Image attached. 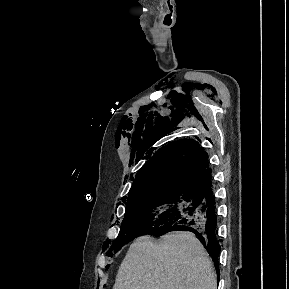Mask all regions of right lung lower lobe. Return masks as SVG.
Returning <instances> with one entry per match:
<instances>
[{"mask_svg": "<svg viewBox=\"0 0 289 289\" xmlns=\"http://www.w3.org/2000/svg\"><path fill=\"white\" fill-rule=\"evenodd\" d=\"M198 203L192 211L169 228L155 232L152 235L161 236L170 231H190L197 235L214 261L219 274L218 256L220 244L217 239V214L215 197L212 188L197 195Z\"/></svg>", "mask_w": 289, "mask_h": 289, "instance_id": "1", "label": "right lung lower lobe"}]
</instances>
